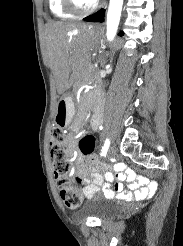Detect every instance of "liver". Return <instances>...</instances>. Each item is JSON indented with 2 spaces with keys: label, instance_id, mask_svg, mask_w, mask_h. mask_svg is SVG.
<instances>
[{
  "label": "liver",
  "instance_id": "1",
  "mask_svg": "<svg viewBox=\"0 0 183 246\" xmlns=\"http://www.w3.org/2000/svg\"><path fill=\"white\" fill-rule=\"evenodd\" d=\"M93 39L92 26L84 23L56 21L47 25V53L59 94L89 65Z\"/></svg>",
  "mask_w": 183,
  "mask_h": 246
}]
</instances>
